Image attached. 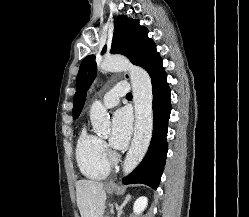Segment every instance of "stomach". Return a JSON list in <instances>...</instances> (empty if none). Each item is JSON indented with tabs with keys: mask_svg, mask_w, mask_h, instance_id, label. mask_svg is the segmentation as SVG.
Here are the masks:
<instances>
[{
	"mask_svg": "<svg viewBox=\"0 0 249 217\" xmlns=\"http://www.w3.org/2000/svg\"><path fill=\"white\" fill-rule=\"evenodd\" d=\"M105 189L108 193H113V192H116L118 190V187L115 185H108V186H106Z\"/></svg>",
	"mask_w": 249,
	"mask_h": 217,
	"instance_id": "0dacf381",
	"label": "stomach"
}]
</instances>
